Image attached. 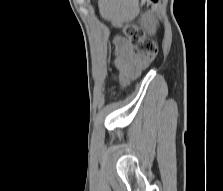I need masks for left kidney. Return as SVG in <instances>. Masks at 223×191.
<instances>
[{"label": "left kidney", "instance_id": "1", "mask_svg": "<svg viewBox=\"0 0 223 191\" xmlns=\"http://www.w3.org/2000/svg\"><path fill=\"white\" fill-rule=\"evenodd\" d=\"M144 27L148 30V32L153 33L156 28V20L151 13H147L144 15L142 19Z\"/></svg>", "mask_w": 223, "mask_h": 191}]
</instances>
